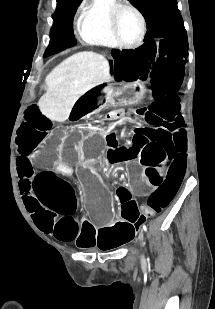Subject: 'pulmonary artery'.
<instances>
[{
    "label": "pulmonary artery",
    "mask_w": 215,
    "mask_h": 309,
    "mask_svg": "<svg viewBox=\"0 0 215 309\" xmlns=\"http://www.w3.org/2000/svg\"><path fill=\"white\" fill-rule=\"evenodd\" d=\"M91 6L92 8H96L93 10L94 16H105L106 11L114 7V2L110 0H97L92 1Z\"/></svg>",
    "instance_id": "obj_1"
}]
</instances>
